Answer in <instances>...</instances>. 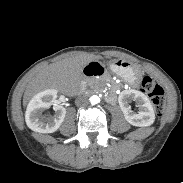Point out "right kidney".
<instances>
[{"label":"right kidney","mask_w":183,"mask_h":183,"mask_svg":"<svg viewBox=\"0 0 183 183\" xmlns=\"http://www.w3.org/2000/svg\"><path fill=\"white\" fill-rule=\"evenodd\" d=\"M57 97L55 89H48L35 95L29 102L26 110L27 126L39 133H53L62 124L66 109L63 106H54V116L46 117L43 115L44 110L54 104Z\"/></svg>","instance_id":"ca27d5eb"}]
</instances>
